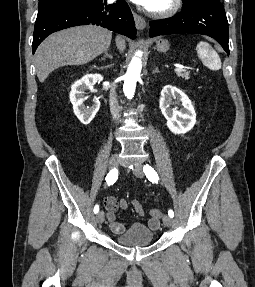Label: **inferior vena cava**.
Masks as SVG:
<instances>
[{"label": "inferior vena cava", "instance_id": "602c4592", "mask_svg": "<svg viewBox=\"0 0 255 287\" xmlns=\"http://www.w3.org/2000/svg\"><path fill=\"white\" fill-rule=\"evenodd\" d=\"M109 106L110 112L114 118V120H119L120 116V108L116 98V92L114 86L111 88L110 96H109Z\"/></svg>", "mask_w": 255, "mask_h": 287}]
</instances>
